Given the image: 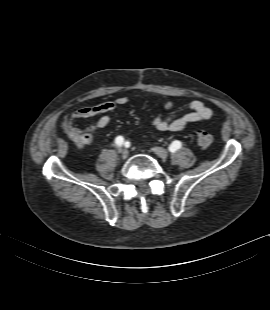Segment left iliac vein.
Wrapping results in <instances>:
<instances>
[{
    "label": "left iliac vein",
    "mask_w": 270,
    "mask_h": 310,
    "mask_svg": "<svg viewBox=\"0 0 270 310\" xmlns=\"http://www.w3.org/2000/svg\"><path fill=\"white\" fill-rule=\"evenodd\" d=\"M154 152L162 159H166L168 157V152L162 147H155Z\"/></svg>",
    "instance_id": "4c4485c4"
}]
</instances>
